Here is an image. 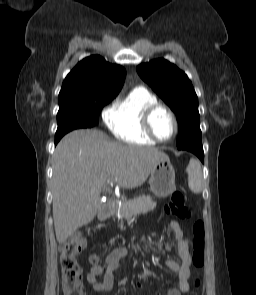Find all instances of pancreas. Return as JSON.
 Segmentation results:
<instances>
[{
  "label": "pancreas",
  "instance_id": "pancreas-1",
  "mask_svg": "<svg viewBox=\"0 0 256 295\" xmlns=\"http://www.w3.org/2000/svg\"><path fill=\"white\" fill-rule=\"evenodd\" d=\"M156 202L152 201L150 196H139L122 203L121 207L116 210L115 215L118 219L131 218L136 214H146L153 210Z\"/></svg>",
  "mask_w": 256,
  "mask_h": 295
}]
</instances>
